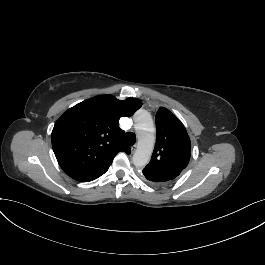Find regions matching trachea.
I'll list each match as a JSON object with an SVG mask.
<instances>
[{
    "instance_id": "3493384b",
    "label": "trachea",
    "mask_w": 265,
    "mask_h": 265,
    "mask_svg": "<svg viewBox=\"0 0 265 265\" xmlns=\"http://www.w3.org/2000/svg\"><path fill=\"white\" fill-rule=\"evenodd\" d=\"M124 142L129 146L134 145L136 142L135 134L133 132H127L124 136Z\"/></svg>"
}]
</instances>
